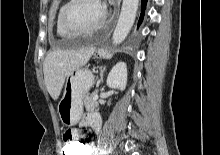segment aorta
Masks as SVG:
<instances>
[{
	"label": "aorta",
	"mask_w": 220,
	"mask_h": 155,
	"mask_svg": "<svg viewBox=\"0 0 220 155\" xmlns=\"http://www.w3.org/2000/svg\"><path fill=\"white\" fill-rule=\"evenodd\" d=\"M138 5L139 0H123L121 13L112 36L114 45L122 43L129 34L136 18Z\"/></svg>",
	"instance_id": "762f6f07"
}]
</instances>
